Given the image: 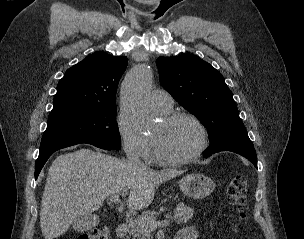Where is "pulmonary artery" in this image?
Instances as JSON below:
<instances>
[{
  "mask_svg": "<svg viewBox=\"0 0 304 239\" xmlns=\"http://www.w3.org/2000/svg\"><path fill=\"white\" fill-rule=\"evenodd\" d=\"M151 104L158 110H170L173 106V98L163 90H154L150 94Z\"/></svg>",
  "mask_w": 304,
  "mask_h": 239,
  "instance_id": "obj_1",
  "label": "pulmonary artery"
}]
</instances>
